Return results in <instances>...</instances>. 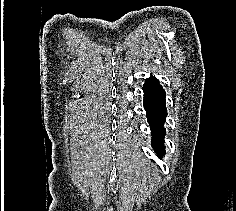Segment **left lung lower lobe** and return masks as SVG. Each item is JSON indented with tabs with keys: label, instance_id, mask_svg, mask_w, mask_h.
Wrapping results in <instances>:
<instances>
[{
	"label": "left lung lower lobe",
	"instance_id": "left-lung-lower-lobe-1",
	"mask_svg": "<svg viewBox=\"0 0 236 211\" xmlns=\"http://www.w3.org/2000/svg\"><path fill=\"white\" fill-rule=\"evenodd\" d=\"M143 91V104L153 136L152 146L158 156L162 157L164 154L163 139L165 135L163 124L167 115L165 91L153 76L145 81Z\"/></svg>",
	"mask_w": 236,
	"mask_h": 211
}]
</instances>
